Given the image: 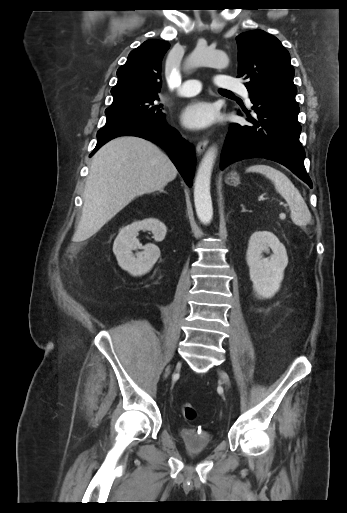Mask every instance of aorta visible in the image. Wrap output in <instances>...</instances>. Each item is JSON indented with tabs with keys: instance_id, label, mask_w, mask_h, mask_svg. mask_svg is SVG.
I'll return each mask as SVG.
<instances>
[{
	"instance_id": "1",
	"label": "aorta",
	"mask_w": 347,
	"mask_h": 513,
	"mask_svg": "<svg viewBox=\"0 0 347 513\" xmlns=\"http://www.w3.org/2000/svg\"><path fill=\"white\" fill-rule=\"evenodd\" d=\"M229 58L223 51H212L198 45L185 62V68L208 66L226 68ZM217 156L216 146H211L203 156L194 183V203L199 220L208 224L213 217L210 194L211 174Z\"/></svg>"
}]
</instances>
